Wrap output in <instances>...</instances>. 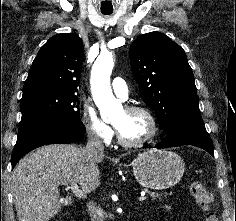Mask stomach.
I'll use <instances>...</instances> for the list:
<instances>
[{
	"instance_id": "stomach-1",
	"label": "stomach",
	"mask_w": 236,
	"mask_h": 221,
	"mask_svg": "<svg viewBox=\"0 0 236 221\" xmlns=\"http://www.w3.org/2000/svg\"><path fill=\"white\" fill-rule=\"evenodd\" d=\"M182 158L171 151L147 150L133 160L138 183L149 189H167L176 185L184 174Z\"/></svg>"
}]
</instances>
